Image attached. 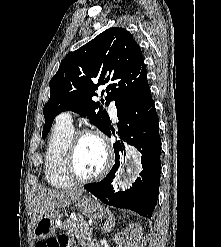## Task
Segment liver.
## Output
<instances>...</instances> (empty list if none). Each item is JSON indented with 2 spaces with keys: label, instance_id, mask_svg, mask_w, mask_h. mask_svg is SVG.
Wrapping results in <instances>:
<instances>
[{
  "label": "liver",
  "instance_id": "6515ba94",
  "mask_svg": "<svg viewBox=\"0 0 221 247\" xmlns=\"http://www.w3.org/2000/svg\"><path fill=\"white\" fill-rule=\"evenodd\" d=\"M82 193V189H41L34 198L32 222L36 224L44 214L71 205Z\"/></svg>",
  "mask_w": 221,
  "mask_h": 247
}]
</instances>
